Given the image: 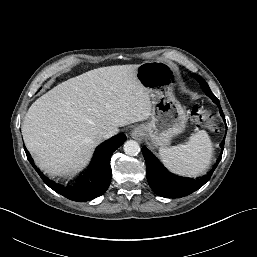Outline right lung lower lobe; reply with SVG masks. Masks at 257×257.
<instances>
[{"label":"right lung lower lobe","mask_w":257,"mask_h":257,"mask_svg":"<svg viewBox=\"0 0 257 257\" xmlns=\"http://www.w3.org/2000/svg\"><path fill=\"white\" fill-rule=\"evenodd\" d=\"M126 140V136L121 133L98 146L94 152L88 168L79 176L73 185H61L50 180L32 162V159L25 150L27 158L42 180L55 192L73 201H89L105 193L108 189L112 171L110 160L112 153Z\"/></svg>","instance_id":"1"}]
</instances>
